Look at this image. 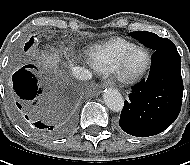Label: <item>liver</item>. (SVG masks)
<instances>
[{
    "instance_id": "liver-1",
    "label": "liver",
    "mask_w": 190,
    "mask_h": 165,
    "mask_svg": "<svg viewBox=\"0 0 190 165\" xmlns=\"http://www.w3.org/2000/svg\"><path fill=\"white\" fill-rule=\"evenodd\" d=\"M34 56L38 58L39 60H41V64L44 68L47 66L50 68L56 67L57 59L55 55L53 54L49 55L48 53L37 52V53H34Z\"/></svg>"
}]
</instances>
